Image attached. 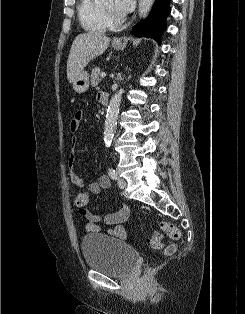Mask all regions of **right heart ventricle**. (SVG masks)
<instances>
[{"label":"right heart ventricle","mask_w":245,"mask_h":314,"mask_svg":"<svg viewBox=\"0 0 245 314\" xmlns=\"http://www.w3.org/2000/svg\"><path fill=\"white\" fill-rule=\"evenodd\" d=\"M77 13L82 27L88 32L103 33L111 26L105 21L97 0H79Z\"/></svg>","instance_id":"e07e8e85"}]
</instances>
